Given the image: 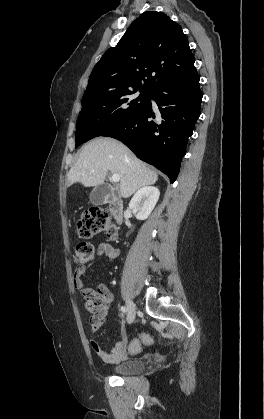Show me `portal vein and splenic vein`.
<instances>
[{"mask_svg":"<svg viewBox=\"0 0 264 419\" xmlns=\"http://www.w3.org/2000/svg\"><path fill=\"white\" fill-rule=\"evenodd\" d=\"M112 181L117 183L120 181V176L118 174H113L112 175Z\"/></svg>","mask_w":264,"mask_h":419,"instance_id":"portal-vein-and-splenic-vein-1","label":"portal vein and splenic vein"}]
</instances>
